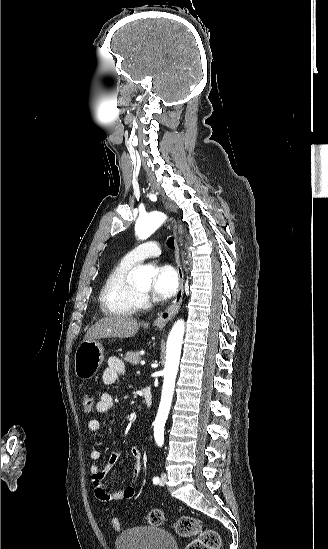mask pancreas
I'll list each match as a JSON object with an SVG mask.
<instances>
[{
  "label": "pancreas",
  "instance_id": "cf45deb5",
  "mask_svg": "<svg viewBox=\"0 0 328 549\" xmlns=\"http://www.w3.org/2000/svg\"><path fill=\"white\" fill-rule=\"evenodd\" d=\"M124 361H127V363H132V365H139V361H141V353H133V351H129V353H126L124 357Z\"/></svg>",
  "mask_w": 328,
  "mask_h": 549
}]
</instances>
